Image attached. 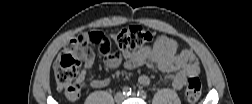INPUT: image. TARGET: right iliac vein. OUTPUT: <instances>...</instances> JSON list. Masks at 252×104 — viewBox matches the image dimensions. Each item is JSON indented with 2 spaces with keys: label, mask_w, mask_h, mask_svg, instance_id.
<instances>
[{
  "label": "right iliac vein",
  "mask_w": 252,
  "mask_h": 104,
  "mask_svg": "<svg viewBox=\"0 0 252 104\" xmlns=\"http://www.w3.org/2000/svg\"><path fill=\"white\" fill-rule=\"evenodd\" d=\"M116 103H121L124 99V96L122 93H117L114 97Z\"/></svg>",
  "instance_id": "right-iliac-vein-1"
}]
</instances>
